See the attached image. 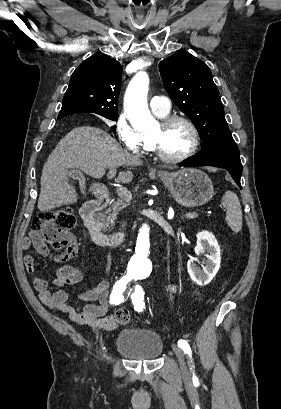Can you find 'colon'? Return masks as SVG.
Here are the masks:
<instances>
[{
	"label": "colon",
	"instance_id": "1",
	"mask_svg": "<svg viewBox=\"0 0 281 409\" xmlns=\"http://www.w3.org/2000/svg\"><path fill=\"white\" fill-rule=\"evenodd\" d=\"M75 216L70 206L57 210L40 212L33 220L35 240L52 247L64 258L70 255L66 233L75 226ZM128 306H119L115 313V320L122 325L132 323Z\"/></svg>",
	"mask_w": 281,
	"mask_h": 409
}]
</instances>
